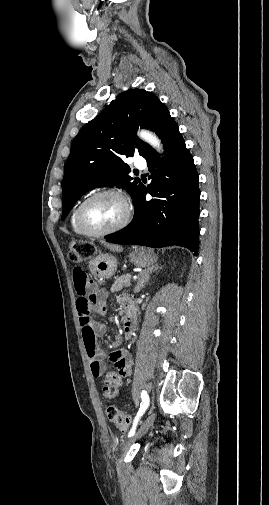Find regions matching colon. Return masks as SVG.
Wrapping results in <instances>:
<instances>
[{
    "label": "colon",
    "mask_w": 269,
    "mask_h": 505,
    "mask_svg": "<svg viewBox=\"0 0 269 505\" xmlns=\"http://www.w3.org/2000/svg\"><path fill=\"white\" fill-rule=\"evenodd\" d=\"M91 255L92 251L88 245L81 244L79 242L71 243L70 259L72 262L77 264L82 263L86 261ZM73 280H74V273H73ZM97 298L99 297L97 296ZM120 384H121V378L117 373L115 372L107 373L102 377L101 380V388L103 395L106 398H113L117 394ZM107 417L109 421L112 423V425L122 432H125L127 430L131 422V417L129 414L112 405L107 407Z\"/></svg>",
    "instance_id": "1"
}]
</instances>
